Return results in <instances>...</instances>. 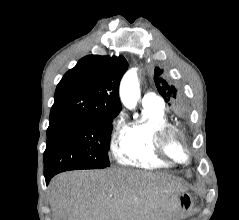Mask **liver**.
Listing matches in <instances>:
<instances>
[{
    "label": "liver",
    "instance_id": "6515ba94",
    "mask_svg": "<svg viewBox=\"0 0 239 220\" xmlns=\"http://www.w3.org/2000/svg\"><path fill=\"white\" fill-rule=\"evenodd\" d=\"M187 188L162 174L141 170L70 171L49 185L53 220H165L179 210Z\"/></svg>",
    "mask_w": 239,
    "mask_h": 220
}]
</instances>
